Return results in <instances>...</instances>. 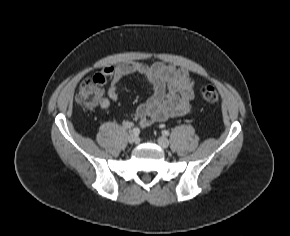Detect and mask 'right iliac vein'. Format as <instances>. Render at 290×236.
<instances>
[{
  "label": "right iliac vein",
  "instance_id": "right-iliac-vein-1",
  "mask_svg": "<svg viewBox=\"0 0 290 236\" xmlns=\"http://www.w3.org/2000/svg\"><path fill=\"white\" fill-rule=\"evenodd\" d=\"M138 136L137 135H135V134H133V133H131L129 136H128V142L130 143V144H136V143H138Z\"/></svg>",
  "mask_w": 290,
  "mask_h": 236
}]
</instances>
